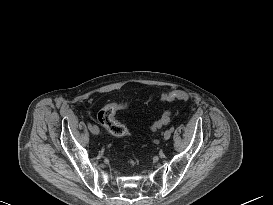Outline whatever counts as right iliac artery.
<instances>
[{"label":"right iliac artery","instance_id":"right-iliac-artery-1","mask_svg":"<svg viewBox=\"0 0 273 205\" xmlns=\"http://www.w3.org/2000/svg\"><path fill=\"white\" fill-rule=\"evenodd\" d=\"M87 125H88V128H89V129L92 127V125H91L90 122H88Z\"/></svg>","mask_w":273,"mask_h":205}]
</instances>
